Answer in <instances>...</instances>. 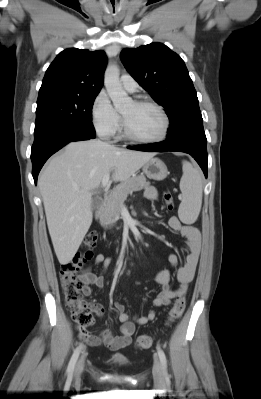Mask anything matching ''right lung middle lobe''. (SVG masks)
Wrapping results in <instances>:
<instances>
[{
  "label": "right lung middle lobe",
  "instance_id": "1",
  "mask_svg": "<svg viewBox=\"0 0 261 399\" xmlns=\"http://www.w3.org/2000/svg\"><path fill=\"white\" fill-rule=\"evenodd\" d=\"M96 96L51 94L38 97L35 128L53 122H68L94 131L91 109Z\"/></svg>",
  "mask_w": 261,
  "mask_h": 399
}]
</instances>
